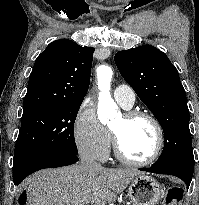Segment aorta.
<instances>
[{
	"instance_id": "aorta-1",
	"label": "aorta",
	"mask_w": 199,
	"mask_h": 205,
	"mask_svg": "<svg viewBox=\"0 0 199 205\" xmlns=\"http://www.w3.org/2000/svg\"><path fill=\"white\" fill-rule=\"evenodd\" d=\"M112 75V69L107 65H102L97 69L98 87L100 90L98 118L102 124H106L108 122V118L118 110V107L110 94V82Z\"/></svg>"
}]
</instances>
